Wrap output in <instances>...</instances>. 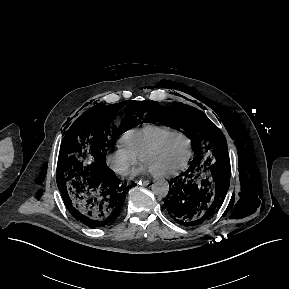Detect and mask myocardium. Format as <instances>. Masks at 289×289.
I'll return each instance as SVG.
<instances>
[{"instance_id": "myocardium-1", "label": "myocardium", "mask_w": 289, "mask_h": 289, "mask_svg": "<svg viewBox=\"0 0 289 289\" xmlns=\"http://www.w3.org/2000/svg\"><path fill=\"white\" fill-rule=\"evenodd\" d=\"M183 137L187 143H188V154H187V157L185 159V161L183 162V164L173 170V171H170V172H165V173H154L152 172V175L156 178H169V177H174V176H177L179 175L180 173H182L188 166L190 160H191V157H192V152H193V145H192V142L190 140V138L180 132V131H174L172 133H169L167 135H165L164 137H162L161 139H159L158 141H156L152 146H150L142 155H141V161L144 162L145 159L152 155L153 153H155L167 140H169L170 138H173V137Z\"/></svg>"}]
</instances>
